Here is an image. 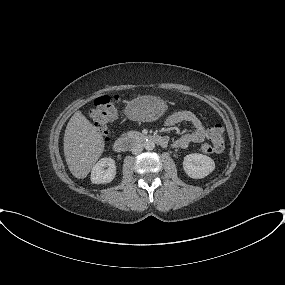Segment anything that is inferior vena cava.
I'll return each instance as SVG.
<instances>
[{"label": "inferior vena cava", "mask_w": 285, "mask_h": 285, "mask_svg": "<svg viewBox=\"0 0 285 285\" xmlns=\"http://www.w3.org/2000/svg\"><path fill=\"white\" fill-rule=\"evenodd\" d=\"M132 154L138 155L143 151V145L142 144H135L132 149Z\"/></svg>", "instance_id": "1"}]
</instances>
